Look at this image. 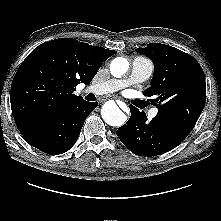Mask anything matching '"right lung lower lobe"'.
<instances>
[{
  "label": "right lung lower lobe",
  "mask_w": 221,
  "mask_h": 221,
  "mask_svg": "<svg viewBox=\"0 0 221 221\" xmlns=\"http://www.w3.org/2000/svg\"><path fill=\"white\" fill-rule=\"evenodd\" d=\"M97 105V102L83 100L67 111L38 122L22 134L35 148L51 155L62 154L75 144L86 118Z\"/></svg>",
  "instance_id": "obj_1"
}]
</instances>
